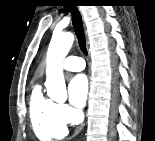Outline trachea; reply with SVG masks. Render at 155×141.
<instances>
[{"mask_svg":"<svg viewBox=\"0 0 155 141\" xmlns=\"http://www.w3.org/2000/svg\"><path fill=\"white\" fill-rule=\"evenodd\" d=\"M66 7L69 9L72 15V24L78 38L79 47L84 54H87L86 39L81 14L73 5H67Z\"/></svg>","mask_w":155,"mask_h":141,"instance_id":"3493384b","label":"trachea"}]
</instances>
